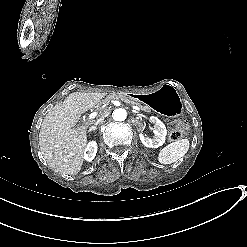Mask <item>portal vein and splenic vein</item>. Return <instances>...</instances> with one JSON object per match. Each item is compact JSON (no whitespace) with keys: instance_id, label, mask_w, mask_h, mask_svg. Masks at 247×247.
Segmentation results:
<instances>
[{"instance_id":"1","label":"portal vein and splenic vein","mask_w":247,"mask_h":247,"mask_svg":"<svg viewBox=\"0 0 247 247\" xmlns=\"http://www.w3.org/2000/svg\"><path fill=\"white\" fill-rule=\"evenodd\" d=\"M125 104H129L130 108L134 109V110H138V111H141V108L138 107V106H133V103H130V101L128 100H125ZM99 115V112L97 110H94V111H91L89 114H88V117L90 119H93V118H96L97 116Z\"/></svg>"}]
</instances>
